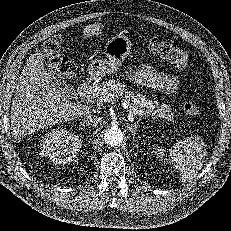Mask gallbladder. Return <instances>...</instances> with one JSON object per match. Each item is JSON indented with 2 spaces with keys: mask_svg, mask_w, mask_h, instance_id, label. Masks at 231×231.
I'll use <instances>...</instances> for the list:
<instances>
[{
  "mask_svg": "<svg viewBox=\"0 0 231 231\" xmlns=\"http://www.w3.org/2000/svg\"><path fill=\"white\" fill-rule=\"evenodd\" d=\"M46 72L49 78V82L59 89L63 95H65L69 99L76 98L77 94L75 89L72 85L65 82L64 77L60 73V71L57 69L56 66L48 64L46 66Z\"/></svg>",
  "mask_w": 231,
  "mask_h": 231,
  "instance_id": "gallbladder-1",
  "label": "gallbladder"
}]
</instances>
